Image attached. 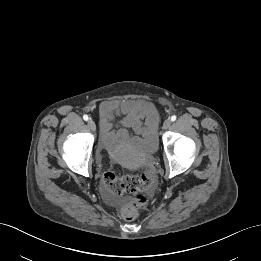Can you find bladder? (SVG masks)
Instances as JSON below:
<instances>
[{"mask_svg":"<svg viewBox=\"0 0 261 261\" xmlns=\"http://www.w3.org/2000/svg\"><path fill=\"white\" fill-rule=\"evenodd\" d=\"M100 147L115 160L127 163L129 154L125 149H130L140 155L152 156L157 150V142L155 136L150 133L134 135L127 132H117L109 138L102 137Z\"/></svg>","mask_w":261,"mask_h":261,"instance_id":"31cf9c89","label":"bladder"}]
</instances>
